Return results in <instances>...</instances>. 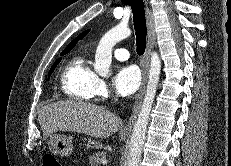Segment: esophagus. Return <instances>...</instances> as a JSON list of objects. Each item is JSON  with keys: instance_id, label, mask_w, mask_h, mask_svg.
Listing matches in <instances>:
<instances>
[{"instance_id": "34e87169", "label": "esophagus", "mask_w": 231, "mask_h": 166, "mask_svg": "<svg viewBox=\"0 0 231 166\" xmlns=\"http://www.w3.org/2000/svg\"><path fill=\"white\" fill-rule=\"evenodd\" d=\"M146 4V18H147V29H148V41H147V48L145 51V55L143 58L142 68H143V79H142V85L139 90V93L137 94L132 114L129 118V121L127 125L123 128L121 133L128 134L132 131L133 125L136 121L138 112L141 107L143 95L146 88L147 78H148V72H149V62H150V54L151 50L154 47L155 41H156V31H155V24H154V17L149 5L148 0H145Z\"/></svg>"}]
</instances>
